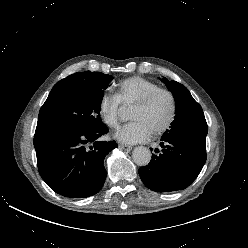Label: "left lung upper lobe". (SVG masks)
I'll list each match as a JSON object with an SVG mask.
<instances>
[{
    "label": "left lung upper lobe",
    "mask_w": 248,
    "mask_h": 248,
    "mask_svg": "<svg viewBox=\"0 0 248 248\" xmlns=\"http://www.w3.org/2000/svg\"><path fill=\"white\" fill-rule=\"evenodd\" d=\"M172 92L175 103V119L171 127L162 137L177 133H187L194 136L206 137L208 126L201 106L194 100L188 89L178 82L161 79Z\"/></svg>",
    "instance_id": "left-lung-upper-lobe-1"
}]
</instances>
